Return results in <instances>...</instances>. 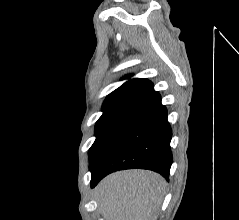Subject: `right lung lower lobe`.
I'll return each instance as SVG.
<instances>
[{
	"mask_svg": "<svg viewBox=\"0 0 239 220\" xmlns=\"http://www.w3.org/2000/svg\"><path fill=\"white\" fill-rule=\"evenodd\" d=\"M171 137L167 110L159 93L153 90L131 107L91 170V186L111 172L130 168L153 170L168 179Z\"/></svg>",
	"mask_w": 239,
	"mask_h": 220,
	"instance_id": "obj_1",
	"label": "right lung lower lobe"
}]
</instances>
